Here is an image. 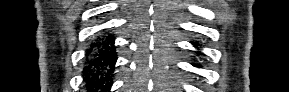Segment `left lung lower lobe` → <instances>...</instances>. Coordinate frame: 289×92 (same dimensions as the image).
Segmentation results:
<instances>
[{
  "label": "left lung lower lobe",
  "instance_id": "obj_1",
  "mask_svg": "<svg viewBox=\"0 0 289 92\" xmlns=\"http://www.w3.org/2000/svg\"><path fill=\"white\" fill-rule=\"evenodd\" d=\"M194 45H195V43H193ZM194 66H196V67H200L199 65H196V64H193Z\"/></svg>",
  "mask_w": 289,
  "mask_h": 92
}]
</instances>
